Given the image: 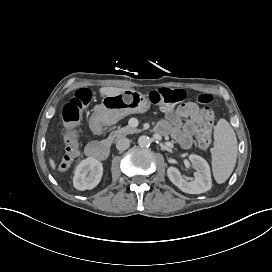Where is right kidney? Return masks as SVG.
Segmentation results:
<instances>
[{
  "label": "right kidney",
  "mask_w": 272,
  "mask_h": 272,
  "mask_svg": "<svg viewBox=\"0 0 272 272\" xmlns=\"http://www.w3.org/2000/svg\"><path fill=\"white\" fill-rule=\"evenodd\" d=\"M101 176L102 164L89 158L77 166L73 183L79 190L92 189L99 183Z\"/></svg>",
  "instance_id": "obj_1"
}]
</instances>
